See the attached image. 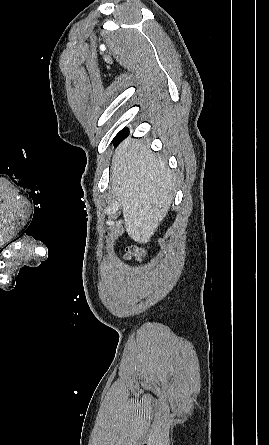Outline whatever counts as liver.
<instances>
[{"mask_svg":"<svg viewBox=\"0 0 269 445\" xmlns=\"http://www.w3.org/2000/svg\"><path fill=\"white\" fill-rule=\"evenodd\" d=\"M111 169L126 231L134 241L148 243L168 213L176 178L147 145L129 139L117 148Z\"/></svg>","mask_w":269,"mask_h":445,"instance_id":"liver-1","label":"liver"}]
</instances>
